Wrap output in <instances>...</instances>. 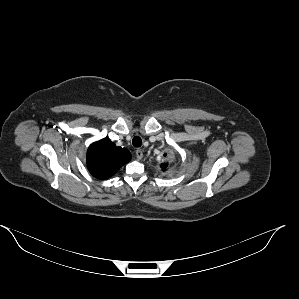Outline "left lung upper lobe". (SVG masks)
I'll return each mask as SVG.
<instances>
[{
	"label": "left lung upper lobe",
	"instance_id": "left-lung-upper-lobe-1",
	"mask_svg": "<svg viewBox=\"0 0 299 299\" xmlns=\"http://www.w3.org/2000/svg\"><path fill=\"white\" fill-rule=\"evenodd\" d=\"M161 168H162V169L167 168V164H165V163H164V164H161Z\"/></svg>",
	"mask_w": 299,
	"mask_h": 299
}]
</instances>
